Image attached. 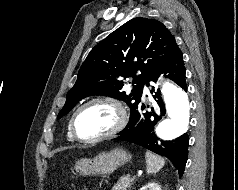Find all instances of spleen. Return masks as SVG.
Returning a JSON list of instances; mask_svg holds the SVG:
<instances>
[{"label":"spleen","mask_w":238,"mask_h":190,"mask_svg":"<svg viewBox=\"0 0 238 190\" xmlns=\"http://www.w3.org/2000/svg\"><path fill=\"white\" fill-rule=\"evenodd\" d=\"M145 158H146V165H147L146 170L148 174L157 173L165 165V160L161 156L155 155L150 151L146 152Z\"/></svg>","instance_id":"3e777b00"}]
</instances>
